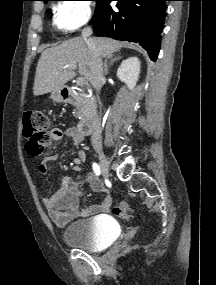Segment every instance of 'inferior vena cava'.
<instances>
[{"label": "inferior vena cava", "instance_id": "obj_1", "mask_svg": "<svg viewBox=\"0 0 216 285\" xmlns=\"http://www.w3.org/2000/svg\"><path fill=\"white\" fill-rule=\"evenodd\" d=\"M91 34L92 29L90 27H85L82 31V37L87 41V44L91 51L89 79L93 88L96 90L97 93H99L104 82L103 64L102 58L99 55L95 45L89 39ZM100 140L101 122L100 118L96 116L93 120V133L91 136V142L93 145H96L100 142Z\"/></svg>", "mask_w": 216, "mask_h": 285}]
</instances>
